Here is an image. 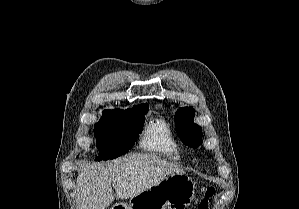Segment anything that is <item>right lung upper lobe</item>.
I'll return each instance as SVG.
<instances>
[{
	"instance_id": "right-lung-upper-lobe-1",
	"label": "right lung upper lobe",
	"mask_w": 299,
	"mask_h": 209,
	"mask_svg": "<svg viewBox=\"0 0 299 209\" xmlns=\"http://www.w3.org/2000/svg\"><path fill=\"white\" fill-rule=\"evenodd\" d=\"M147 111H148V105L143 104V105L135 106V108H133V109H127L125 111L119 110V109H116L114 111L105 110L103 112V116H105V115H113V116L114 115H132V114H138V113L147 112Z\"/></svg>"
}]
</instances>
